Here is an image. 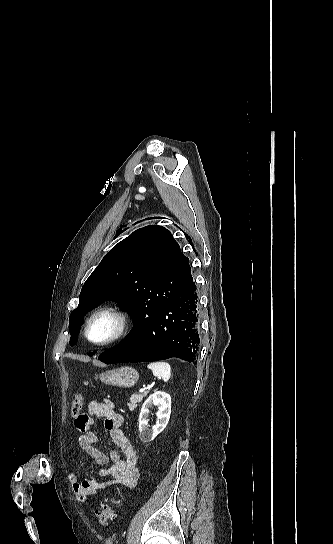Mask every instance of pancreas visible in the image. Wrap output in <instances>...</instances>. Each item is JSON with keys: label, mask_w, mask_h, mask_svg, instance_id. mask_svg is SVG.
<instances>
[{"label": "pancreas", "mask_w": 333, "mask_h": 544, "mask_svg": "<svg viewBox=\"0 0 333 544\" xmlns=\"http://www.w3.org/2000/svg\"><path fill=\"white\" fill-rule=\"evenodd\" d=\"M148 392H145L144 394H133L130 397V402L128 403L129 410L133 411L138 403L142 402L143 398L147 396Z\"/></svg>", "instance_id": "1"}]
</instances>
